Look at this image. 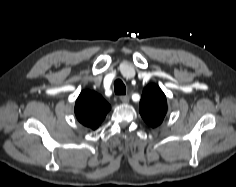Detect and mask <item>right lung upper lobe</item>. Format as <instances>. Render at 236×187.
<instances>
[{
    "label": "right lung upper lobe",
    "mask_w": 236,
    "mask_h": 187,
    "mask_svg": "<svg viewBox=\"0 0 236 187\" xmlns=\"http://www.w3.org/2000/svg\"><path fill=\"white\" fill-rule=\"evenodd\" d=\"M105 99L94 91H82L76 100L75 115L84 126L95 130L110 110Z\"/></svg>",
    "instance_id": "1"
}]
</instances>
